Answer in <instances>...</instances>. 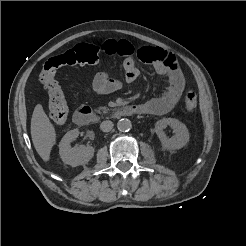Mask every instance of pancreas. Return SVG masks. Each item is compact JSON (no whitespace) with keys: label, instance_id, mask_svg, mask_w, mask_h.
Listing matches in <instances>:
<instances>
[{"label":"pancreas","instance_id":"pancreas-1","mask_svg":"<svg viewBox=\"0 0 246 246\" xmlns=\"http://www.w3.org/2000/svg\"><path fill=\"white\" fill-rule=\"evenodd\" d=\"M97 112L98 113H104V114H107L108 112H109V108L108 107H105V106H102V107H99L98 109H97Z\"/></svg>","mask_w":246,"mask_h":246}]
</instances>
